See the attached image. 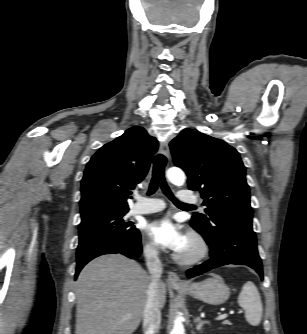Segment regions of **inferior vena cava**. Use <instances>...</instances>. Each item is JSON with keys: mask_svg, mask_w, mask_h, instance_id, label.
<instances>
[{"mask_svg": "<svg viewBox=\"0 0 307 334\" xmlns=\"http://www.w3.org/2000/svg\"><path fill=\"white\" fill-rule=\"evenodd\" d=\"M145 258L150 273V283L143 312V329L144 334H154L160 328L161 324L159 283L163 269L156 247H146Z\"/></svg>", "mask_w": 307, "mask_h": 334, "instance_id": "inferior-vena-cava-1", "label": "inferior vena cava"}]
</instances>
